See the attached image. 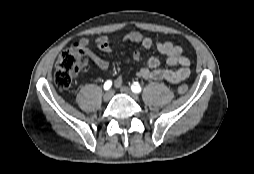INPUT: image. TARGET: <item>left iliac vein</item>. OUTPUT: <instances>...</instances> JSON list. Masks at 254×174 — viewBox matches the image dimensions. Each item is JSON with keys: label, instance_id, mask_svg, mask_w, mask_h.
Instances as JSON below:
<instances>
[{"label": "left iliac vein", "instance_id": "1", "mask_svg": "<svg viewBox=\"0 0 254 174\" xmlns=\"http://www.w3.org/2000/svg\"><path fill=\"white\" fill-rule=\"evenodd\" d=\"M121 92H123L124 94L129 95L132 99L134 100H138L139 96L136 93H133L130 88L123 86L120 88Z\"/></svg>", "mask_w": 254, "mask_h": 174}]
</instances>
